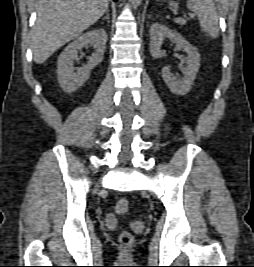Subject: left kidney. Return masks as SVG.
Returning a JSON list of instances; mask_svg holds the SVG:
<instances>
[{
	"mask_svg": "<svg viewBox=\"0 0 254 267\" xmlns=\"http://www.w3.org/2000/svg\"><path fill=\"white\" fill-rule=\"evenodd\" d=\"M168 38L176 44L177 50L186 52V64L182 78L174 76L168 67L162 70V78L170 91L176 95H186L196 78L200 67V54L197 49L185 40L179 33L161 23H153L150 27V53L154 58L162 56L161 45Z\"/></svg>",
	"mask_w": 254,
	"mask_h": 267,
	"instance_id": "left-kidney-1",
	"label": "left kidney"
}]
</instances>
